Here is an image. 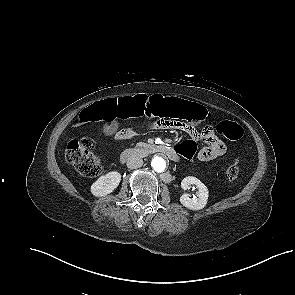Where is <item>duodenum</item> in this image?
<instances>
[{"instance_id":"duodenum-1","label":"duodenum","mask_w":295,"mask_h":295,"mask_svg":"<svg viewBox=\"0 0 295 295\" xmlns=\"http://www.w3.org/2000/svg\"><path fill=\"white\" fill-rule=\"evenodd\" d=\"M145 152H156V153H161L165 156H167L170 160L172 161H178L179 160V154L178 152L168 146V145H149L145 148H130L122 152L120 156V160L122 163H126L134 158H137L144 154Z\"/></svg>"}]
</instances>
